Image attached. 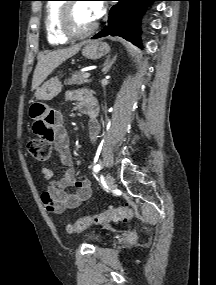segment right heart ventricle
Returning a JSON list of instances; mask_svg holds the SVG:
<instances>
[{"label": "right heart ventricle", "instance_id": "e07e8e85", "mask_svg": "<svg viewBox=\"0 0 216 285\" xmlns=\"http://www.w3.org/2000/svg\"><path fill=\"white\" fill-rule=\"evenodd\" d=\"M63 3L58 0H52L46 5L45 13V32L47 41L53 46L66 44L69 39L64 37L58 27V19Z\"/></svg>", "mask_w": 216, "mask_h": 285}]
</instances>
